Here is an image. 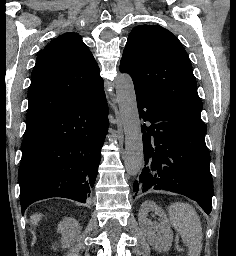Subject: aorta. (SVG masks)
<instances>
[{
  "label": "aorta",
  "mask_w": 236,
  "mask_h": 256,
  "mask_svg": "<svg viewBox=\"0 0 236 256\" xmlns=\"http://www.w3.org/2000/svg\"><path fill=\"white\" fill-rule=\"evenodd\" d=\"M115 89L125 134L124 166L127 174L135 176L143 168L144 152L135 89L131 77L128 74L118 75Z\"/></svg>",
  "instance_id": "aorta-1"
}]
</instances>
